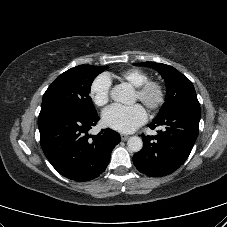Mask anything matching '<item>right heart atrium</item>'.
<instances>
[{
    "label": "right heart atrium",
    "mask_w": 227,
    "mask_h": 227,
    "mask_svg": "<svg viewBox=\"0 0 227 227\" xmlns=\"http://www.w3.org/2000/svg\"><path fill=\"white\" fill-rule=\"evenodd\" d=\"M111 91V80L106 74L97 76L90 85L89 96L92 102L99 107L108 103Z\"/></svg>",
    "instance_id": "right-heart-atrium-1"
}]
</instances>
